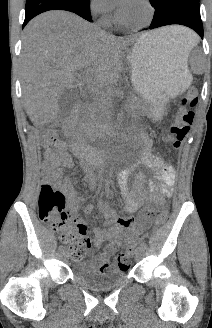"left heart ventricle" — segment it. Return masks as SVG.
<instances>
[{
    "mask_svg": "<svg viewBox=\"0 0 212 328\" xmlns=\"http://www.w3.org/2000/svg\"><path fill=\"white\" fill-rule=\"evenodd\" d=\"M123 17L132 23H139L147 18L148 11L140 0H132V3L122 11Z\"/></svg>",
    "mask_w": 212,
    "mask_h": 328,
    "instance_id": "obj_1",
    "label": "left heart ventricle"
}]
</instances>
